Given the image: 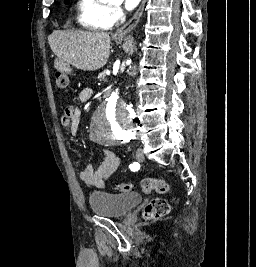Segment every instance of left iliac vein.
<instances>
[{"instance_id": "1", "label": "left iliac vein", "mask_w": 256, "mask_h": 267, "mask_svg": "<svg viewBox=\"0 0 256 267\" xmlns=\"http://www.w3.org/2000/svg\"><path fill=\"white\" fill-rule=\"evenodd\" d=\"M136 159L139 161V162H143L145 160V155L142 151L141 148H139L137 151H136Z\"/></svg>"}]
</instances>
